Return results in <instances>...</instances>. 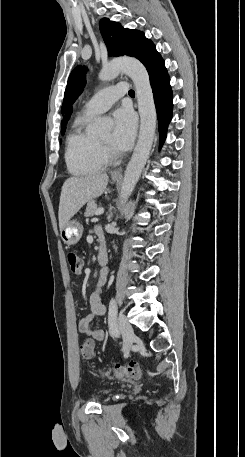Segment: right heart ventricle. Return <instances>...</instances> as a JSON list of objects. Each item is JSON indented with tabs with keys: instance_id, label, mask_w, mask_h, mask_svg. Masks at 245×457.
Segmentation results:
<instances>
[{
	"instance_id": "1",
	"label": "right heart ventricle",
	"mask_w": 245,
	"mask_h": 457,
	"mask_svg": "<svg viewBox=\"0 0 245 457\" xmlns=\"http://www.w3.org/2000/svg\"><path fill=\"white\" fill-rule=\"evenodd\" d=\"M90 117L75 120L67 134L66 159L70 170L85 173L102 169L106 160L97 158L92 152L93 135L88 131Z\"/></svg>"
}]
</instances>
